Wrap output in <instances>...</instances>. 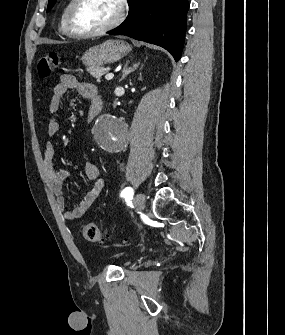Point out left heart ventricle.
<instances>
[{
  "instance_id": "left-heart-ventricle-1",
  "label": "left heart ventricle",
  "mask_w": 285,
  "mask_h": 335,
  "mask_svg": "<svg viewBox=\"0 0 285 335\" xmlns=\"http://www.w3.org/2000/svg\"><path fill=\"white\" fill-rule=\"evenodd\" d=\"M114 1H87L79 10L78 23L86 30L103 28L115 16Z\"/></svg>"
}]
</instances>
